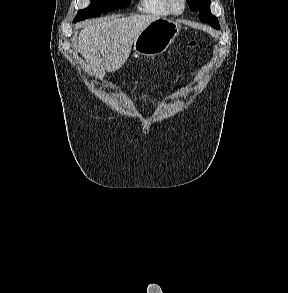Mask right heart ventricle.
I'll return each mask as SVG.
<instances>
[{
	"label": "right heart ventricle",
	"mask_w": 288,
	"mask_h": 293,
	"mask_svg": "<svg viewBox=\"0 0 288 293\" xmlns=\"http://www.w3.org/2000/svg\"><path fill=\"white\" fill-rule=\"evenodd\" d=\"M138 10L154 15L164 16L171 14L164 0H140L138 3Z\"/></svg>",
	"instance_id": "e07e8e85"
}]
</instances>
